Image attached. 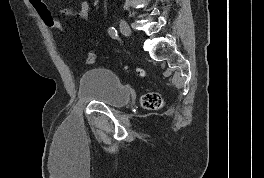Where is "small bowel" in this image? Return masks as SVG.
<instances>
[{
  "label": "small bowel",
  "mask_w": 264,
  "mask_h": 178,
  "mask_svg": "<svg viewBox=\"0 0 264 178\" xmlns=\"http://www.w3.org/2000/svg\"><path fill=\"white\" fill-rule=\"evenodd\" d=\"M89 2L82 1L78 8L68 7L60 11L63 16H78L82 20H86L89 16Z\"/></svg>",
  "instance_id": "small-bowel-1"
}]
</instances>
